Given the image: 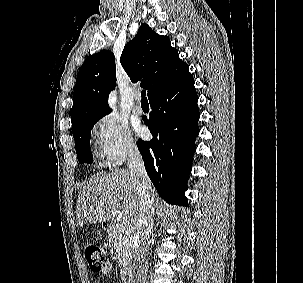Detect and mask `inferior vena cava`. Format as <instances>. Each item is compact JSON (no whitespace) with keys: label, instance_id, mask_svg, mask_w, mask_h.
<instances>
[{"label":"inferior vena cava","instance_id":"inferior-vena-cava-1","mask_svg":"<svg viewBox=\"0 0 303 283\" xmlns=\"http://www.w3.org/2000/svg\"><path fill=\"white\" fill-rule=\"evenodd\" d=\"M128 168L132 180L137 185L139 194L140 219L137 223V235L141 236L142 244L135 247L132 265V283H147V253L146 241L153 228L152 215L154 213V197L150 179L145 170L142 156L137 147H131L128 152Z\"/></svg>","mask_w":303,"mask_h":283}]
</instances>
